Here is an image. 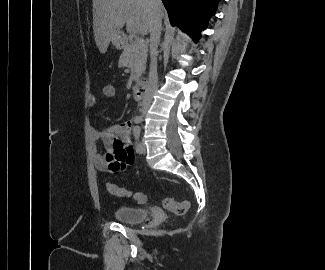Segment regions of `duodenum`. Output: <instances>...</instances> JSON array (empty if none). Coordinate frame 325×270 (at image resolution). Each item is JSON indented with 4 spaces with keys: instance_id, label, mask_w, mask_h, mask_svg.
Here are the masks:
<instances>
[{
    "instance_id": "obj_1",
    "label": "duodenum",
    "mask_w": 325,
    "mask_h": 270,
    "mask_svg": "<svg viewBox=\"0 0 325 270\" xmlns=\"http://www.w3.org/2000/svg\"><path fill=\"white\" fill-rule=\"evenodd\" d=\"M147 83L145 80L138 81L133 88V98L135 101H142L146 92Z\"/></svg>"
}]
</instances>
